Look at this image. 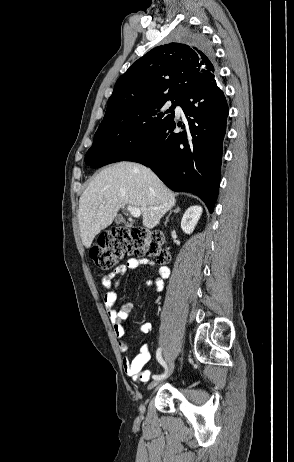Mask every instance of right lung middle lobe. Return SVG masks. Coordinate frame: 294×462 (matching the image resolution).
<instances>
[{
    "mask_svg": "<svg viewBox=\"0 0 294 462\" xmlns=\"http://www.w3.org/2000/svg\"><path fill=\"white\" fill-rule=\"evenodd\" d=\"M175 38L211 51L208 39L199 31L180 28ZM180 96L153 98L104 116L85 160L102 155L105 165L123 161L133 150L173 120ZM171 101V107H169Z\"/></svg>",
    "mask_w": 294,
    "mask_h": 462,
    "instance_id": "obj_1",
    "label": "right lung middle lobe"
}]
</instances>
